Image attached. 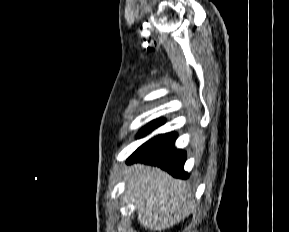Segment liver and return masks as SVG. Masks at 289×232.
<instances>
[{
    "mask_svg": "<svg viewBox=\"0 0 289 232\" xmlns=\"http://www.w3.org/2000/svg\"><path fill=\"white\" fill-rule=\"evenodd\" d=\"M125 198L136 205L138 221L145 229L173 227L194 208L188 185L157 167L134 164L124 174Z\"/></svg>",
    "mask_w": 289,
    "mask_h": 232,
    "instance_id": "1",
    "label": "liver"
}]
</instances>
